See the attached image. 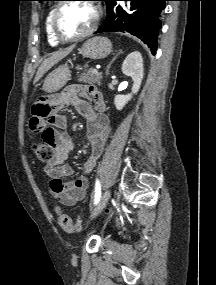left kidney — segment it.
<instances>
[{
    "label": "left kidney",
    "mask_w": 216,
    "mask_h": 285,
    "mask_svg": "<svg viewBox=\"0 0 216 285\" xmlns=\"http://www.w3.org/2000/svg\"><path fill=\"white\" fill-rule=\"evenodd\" d=\"M122 72L132 78L133 86L130 94L115 96L114 104L117 110H122L131 100L133 94H136L140 89L144 75L143 58L140 52L134 51L125 58L122 64Z\"/></svg>",
    "instance_id": "obj_1"
}]
</instances>
